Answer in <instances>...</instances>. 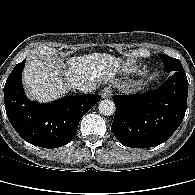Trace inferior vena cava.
I'll list each match as a JSON object with an SVG mask.
<instances>
[{
    "label": "inferior vena cava",
    "mask_w": 195,
    "mask_h": 195,
    "mask_svg": "<svg viewBox=\"0 0 195 195\" xmlns=\"http://www.w3.org/2000/svg\"><path fill=\"white\" fill-rule=\"evenodd\" d=\"M75 88L82 93H88V92H92L93 90H95L96 85L93 83L85 82V83L77 85Z\"/></svg>",
    "instance_id": "1"
}]
</instances>
